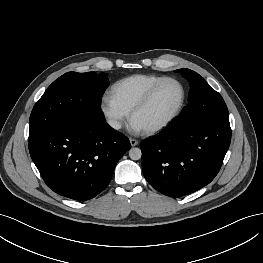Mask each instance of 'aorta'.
<instances>
[{
	"instance_id": "obj_1",
	"label": "aorta",
	"mask_w": 263,
	"mask_h": 263,
	"mask_svg": "<svg viewBox=\"0 0 263 263\" xmlns=\"http://www.w3.org/2000/svg\"><path fill=\"white\" fill-rule=\"evenodd\" d=\"M142 156V152L139 148H131L129 150V157L132 160H139Z\"/></svg>"
}]
</instances>
